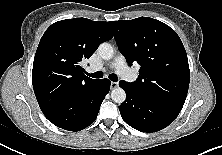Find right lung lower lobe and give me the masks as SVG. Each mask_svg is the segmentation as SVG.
I'll use <instances>...</instances> for the list:
<instances>
[{"instance_id": "right-lung-lower-lobe-1", "label": "right lung lower lobe", "mask_w": 222, "mask_h": 155, "mask_svg": "<svg viewBox=\"0 0 222 155\" xmlns=\"http://www.w3.org/2000/svg\"><path fill=\"white\" fill-rule=\"evenodd\" d=\"M109 89L110 81L101 79L70 93L57 94L44 88L35 91V95L51 123L65 130L80 131L95 121Z\"/></svg>"}]
</instances>
